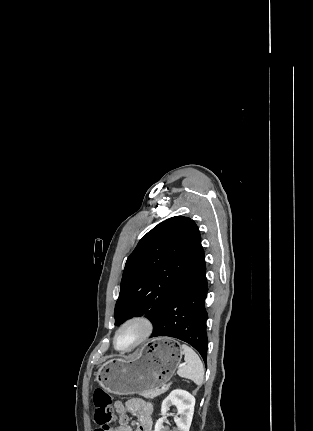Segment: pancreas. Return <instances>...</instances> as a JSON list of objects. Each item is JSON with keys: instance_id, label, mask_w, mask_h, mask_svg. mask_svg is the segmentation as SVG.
I'll use <instances>...</instances> for the list:
<instances>
[{"instance_id": "1", "label": "pancreas", "mask_w": 313, "mask_h": 431, "mask_svg": "<svg viewBox=\"0 0 313 431\" xmlns=\"http://www.w3.org/2000/svg\"><path fill=\"white\" fill-rule=\"evenodd\" d=\"M168 386L164 387L162 389H152V390H146L140 393V395H142L145 398L148 399H154L155 397L163 394L164 392H166L168 390Z\"/></svg>"}]
</instances>
